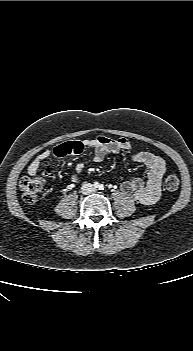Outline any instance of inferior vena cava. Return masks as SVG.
<instances>
[{
	"mask_svg": "<svg viewBox=\"0 0 193 351\" xmlns=\"http://www.w3.org/2000/svg\"><path fill=\"white\" fill-rule=\"evenodd\" d=\"M96 191V188L93 186V184L91 183H83L82 187H81V192L84 195H88L91 193H94Z\"/></svg>",
	"mask_w": 193,
	"mask_h": 351,
	"instance_id": "obj_1",
	"label": "inferior vena cava"
}]
</instances>
